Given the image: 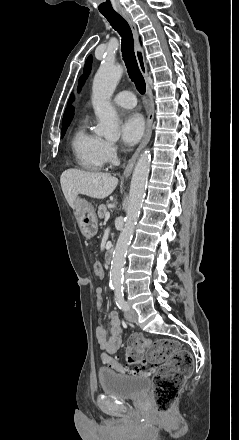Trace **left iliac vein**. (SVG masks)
<instances>
[{"instance_id":"obj_1","label":"left iliac vein","mask_w":239,"mask_h":440,"mask_svg":"<svg viewBox=\"0 0 239 440\" xmlns=\"http://www.w3.org/2000/svg\"><path fill=\"white\" fill-rule=\"evenodd\" d=\"M124 315H125V318L130 322L135 323L138 320V315H137L136 311L133 309L126 310Z\"/></svg>"}]
</instances>
